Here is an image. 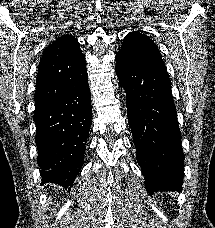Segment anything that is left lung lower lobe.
<instances>
[{"label":"left lung lower lobe","mask_w":215,"mask_h":228,"mask_svg":"<svg viewBox=\"0 0 215 228\" xmlns=\"http://www.w3.org/2000/svg\"><path fill=\"white\" fill-rule=\"evenodd\" d=\"M116 74L127 95L128 121L147 192L182 189L181 132L164 61L116 55Z\"/></svg>","instance_id":"1"}]
</instances>
